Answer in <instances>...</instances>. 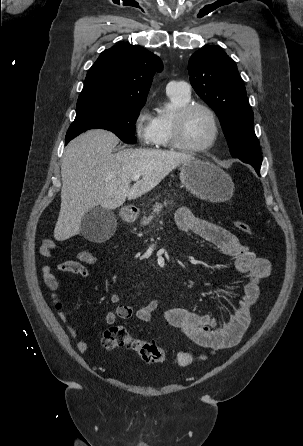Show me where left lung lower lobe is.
Masks as SVG:
<instances>
[{
    "label": "left lung lower lobe",
    "instance_id": "left-lung-lower-lobe-1",
    "mask_svg": "<svg viewBox=\"0 0 303 446\" xmlns=\"http://www.w3.org/2000/svg\"><path fill=\"white\" fill-rule=\"evenodd\" d=\"M255 170H256V172H257L258 174H260V173H259L260 169H256V168H255Z\"/></svg>",
    "mask_w": 303,
    "mask_h": 446
}]
</instances>
